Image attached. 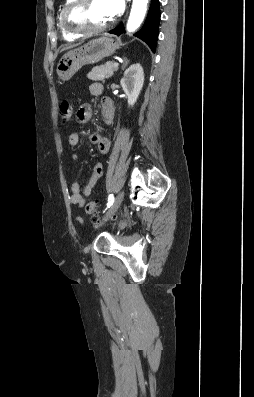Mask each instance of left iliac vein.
Wrapping results in <instances>:
<instances>
[{
  "label": "left iliac vein",
  "instance_id": "left-iliac-vein-1",
  "mask_svg": "<svg viewBox=\"0 0 254 397\" xmlns=\"http://www.w3.org/2000/svg\"><path fill=\"white\" fill-rule=\"evenodd\" d=\"M124 199V191H121L115 198L112 206L108 210L107 214L103 217L102 221L95 226L96 229L100 228L119 208Z\"/></svg>",
  "mask_w": 254,
  "mask_h": 397
}]
</instances>
